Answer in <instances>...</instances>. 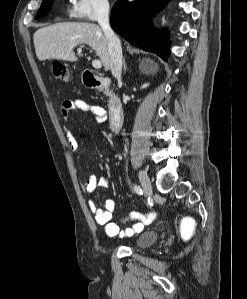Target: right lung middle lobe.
Masks as SVG:
<instances>
[{
    "label": "right lung middle lobe",
    "instance_id": "obj_1",
    "mask_svg": "<svg viewBox=\"0 0 247 299\" xmlns=\"http://www.w3.org/2000/svg\"><path fill=\"white\" fill-rule=\"evenodd\" d=\"M52 2H53V0H43L42 5H41L40 9L38 10L35 18L38 19V18L45 16L50 11Z\"/></svg>",
    "mask_w": 247,
    "mask_h": 299
}]
</instances>
